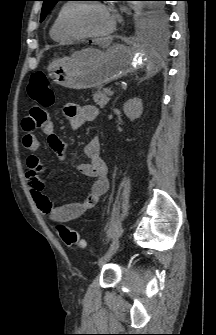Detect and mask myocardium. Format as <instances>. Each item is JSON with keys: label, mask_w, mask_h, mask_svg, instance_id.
Here are the masks:
<instances>
[{"label": "myocardium", "mask_w": 216, "mask_h": 335, "mask_svg": "<svg viewBox=\"0 0 216 335\" xmlns=\"http://www.w3.org/2000/svg\"><path fill=\"white\" fill-rule=\"evenodd\" d=\"M87 5H96L99 6L101 8H104L106 11V7L104 4L100 3V2H96V1H90V2H83V3H74L72 4V6L69 8L65 18H64V27L66 29V31L68 33H70L71 35H74L78 38H101L104 36H107L108 34H110L111 32H113V30L115 29V21L112 18V24L110 26V28L102 33H92V32H87L85 30H83L79 23H78V13L80 12V10L82 8H84Z\"/></svg>", "instance_id": "myocardium-1"}]
</instances>
